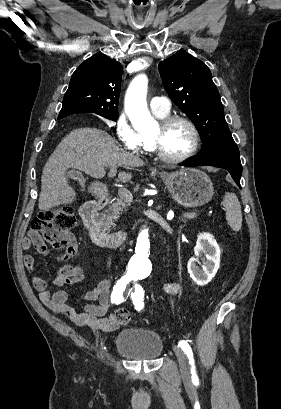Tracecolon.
<instances>
[{
	"label": "colon",
	"mask_w": 281,
	"mask_h": 409,
	"mask_svg": "<svg viewBox=\"0 0 281 409\" xmlns=\"http://www.w3.org/2000/svg\"><path fill=\"white\" fill-rule=\"evenodd\" d=\"M76 222L74 208L64 205L60 208L41 211L33 220V229L37 239L51 245L64 256L69 255L68 242L65 234L71 230ZM129 306H118L115 320L126 325L131 322Z\"/></svg>",
	"instance_id": "colon-1"
}]
</instances>
